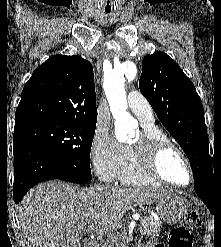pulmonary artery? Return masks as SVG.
I'll use <instances>...</instances> for the list:
<instances>
[{"mask_svg": "<svg viewBox=\"0 0 221 247\" xmlns=\"http://www.w3.org/2000/svg\"><path fill=\"white\" fill-rule=\"evenodd\" d=\"M127 103L130 111L140 120L143 126L154 125L153 110L142 94L137 91L129 92Z\"/></svg>", "mask_w": 221, "mask_h": 247, "instance_id": "pulmonary-artery-1", "label": "pulmonary artery"}]
</instances>
